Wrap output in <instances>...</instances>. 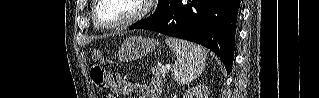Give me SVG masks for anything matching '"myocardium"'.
I'll return each instance as SVG.
<instances>
[{
	"label": "myocardium",
	"instance_id": "myocardium-1",
	"mask_svg": "<svg viewBox=\"0 0 319 98\" xmlns=\"http://www.w3.org/2000/svg\"><path fill=\"white\" fill-rule=\"evenodd\" d=\"M101 1L102 0L94 1V6L92 8V19L94 24L97 27L101 29H106V30L125 28L139 22L140 20L144 19L149 14L152 8V4L154 2L153 0H137L139 4V9L136 13H134L132 16L128 17L125 20L112 23V24H105L99 19V16H98V8Z\"/></svg>",
	"mask_w": 319,
	"mask_h": 98
}]
</instances>
